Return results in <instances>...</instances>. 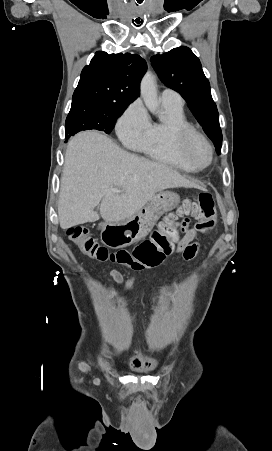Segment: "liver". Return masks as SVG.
<instances>
[{
    "mask_svg": "<svg viewBox=\"0 0 272 451\" xmlns=\"http://www.w3.org/2000/svg\"><path fill=\"white\" fill-rule=\"evenodd\" d=\"M198 188L179 172L121 150L100 132H80L71 138L66 154L58 200L62 229L99 220L100 204L105 222L134 216L156 192L167 188ZM110 188L122 190L121 194Z\"/></svg>",
    "mask_w": 272,
    "mask_h": 451,
    "instance_id": "obj_1",
    "label": "liver"
}]
</instances>
